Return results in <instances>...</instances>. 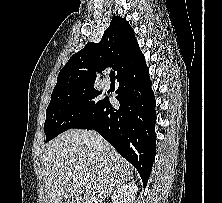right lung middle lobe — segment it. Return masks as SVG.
<instances>
[{
	"label": "right lung middle lobe",
	"instance_id": "1",
	"mask_svg": "<svg viewBox=\"0 0 222 203\" xmlns=\"http://www.w3.org/2000/svg\"><path fill=\"white\" fill-rule=\"evenodd\" d=\"M100 94L93 85L52 92L44 124L46 142L88 117L104 101L97 100Z\"/></svg>",
	"mask_w": 222,
	"mask_h": 203
}]
</instances>
